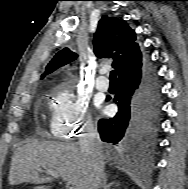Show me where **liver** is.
Masks as SVG:
<instances>
[{
	"label": "liver",
	"instance_id": "1",
	"mask_svg": "<svg viewBox=\"0 0 188 189\" xmlns=\"http://www.w3.org/2000/svg\"><path fill=\"white\" fill-rule=\"evenodd\" d=\"M40 170H54L75 189H87L90 161L73 143L30 140L14 152L9 184L32 183L34 189H49L51 177L40 176Z\"/></svg>",
	"mask_w": 188,
	"mask_h": 189
}]
</instances>
